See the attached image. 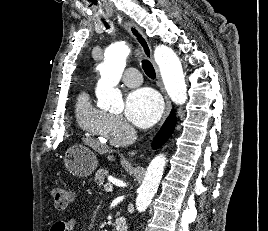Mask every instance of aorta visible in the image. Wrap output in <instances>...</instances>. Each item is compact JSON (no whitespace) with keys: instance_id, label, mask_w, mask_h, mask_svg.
Instances as JSON below:
<instances>
[{"instance_id":"1","label":"aorta","mask_w":268,"mask_h":231,"mask_svg":"<svg viewBox=\"0 0 268 231\" xmlns=\"http://www.w3.org/2000/svg\"><path fill=\"white\" fill-rule=\"evenodd\" d=\"M130 54L129 47L124 43H115L108 47L104 62L100 68L101 78L96 86L98 105L102 109L122 111L124 102L120 90L116 88L126 66V58ZM154 59L159 66L165 89L171 100L182 105L187 100V88L181 62L176 53L168 46L159 45L155 48ZM166 166V157L159 154L148 165L144 180L138 188L136 209L146 210L157 192Z\"/></svg>"}]
</instances>
